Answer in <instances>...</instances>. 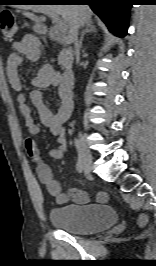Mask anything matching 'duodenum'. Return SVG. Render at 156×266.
I'll return each instance as SVG.
<instances>
[{"instance_id": "1", "label": "duodenum", "mask_w": 156, "mask_h": 266, "mask_svg": "<svg viewBox=\"0 0 156 266\" xmlns=\"http://www.w3.org/2000/svg\"><path fill=\"white\" fill-rule=\"evenodd\" d=\"M47 35L50 40L57 41L63 44L68 42L67 37L55 28H48ZM61 83L65 90L71 91L74 83V74L72 69L67 68L61 76Z\"/></svg>"}]
</instances>
